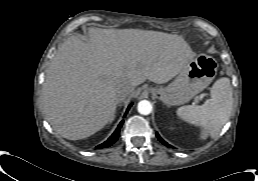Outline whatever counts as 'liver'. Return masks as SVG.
Wrapping results in <instances>:
<instances>
[{"instance_id":"1","label":"liver","mask_w":258,"mask_h":181,"mask_svg":"<svg viewBox=\"0 0 258 181\" xmlns=\"http://www.w3.org/2000/svg\"><path fill=\"white\" fill-rule=\"evenodd\" d=\"M89 36H71L59 47L42 89L46 120L69 140L111 122L124 89L131 94L146 79L166 83L196 57L181 36L163 32L92 28Z\"/></svg>"}]
</instances>
